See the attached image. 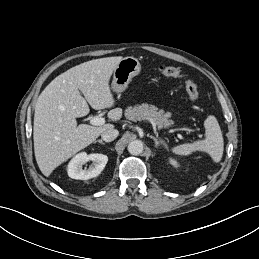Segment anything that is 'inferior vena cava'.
I'll return each instance as SVG.
<instances>
[{"label": "inferior vena cava", "mask_w": 259, "mask_h": 259, "mask_svg": "<svg viewBox=\"0 0 259 259\" xmlns=\"http://www.w3.org/2000/svg\"><path fill=\"white\" fill-rule=\"evenodd\" d=\"M119 135V132L118 130L112 128V129H108L106 131H104L102 134H101V137L104 141L106 142H111L113 141L117 136Z\"/></svg>", "instance_id": "obj_1"}]
</instances>
